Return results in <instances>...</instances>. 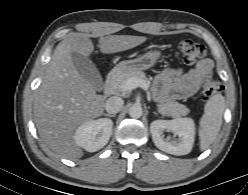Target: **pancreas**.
<instances>
[{
    "mask_svg": "<svg viewBox=\"0 0 248 195\" xmlns=\"http://www.w3.org/2000/svg\"><path fill=\"white\" fill-rule=\"evenodd\" d=\"M131 78H137V79L146 81V75L144 72L133 71V72L123 73V74L119 75L114 81L111 82V87L115 91H121L125 94L128 91L122 90L121 87L123 86V84L127 80H129ZM157 109H158L159 113H161L163 115L175 117V118L186 115L189 112V109L186 106H184L178 102H175V101H170L166 104L158 105Z\"/></svg>",
    "mask_w": 248,
    "mask_h": 195,
    "instance_id": "pancreas-1",
    "label": "pancreas"
}]
</instances>
